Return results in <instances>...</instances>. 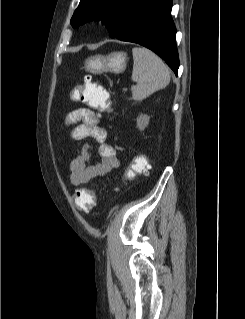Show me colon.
Wrapping results in <instances>:
<instances>
[{
    "instance_id": "1",
    "label": "colon",
    "mask_w": 245,
    "mask_h": 319,
    "mask_svg": "<svg viewBox=\"0 0 245 319\" xmlns=\"http://www.w3.org/2000/svg\"><path fill=\"white\" fill-rule=\"evenodd\" d=\"M77 95L80 101L100 113H108L112 110V99L108 92L93 82L89 76L85 77V84L79 88ZM147 166L148 163L144 157H136L125 171L124 177L131 179L137 175L145 174ZM72 200L78 209H90L95 205V191L90 188L79 189L74 192Z\"/></svg>"
}]
</instances>
